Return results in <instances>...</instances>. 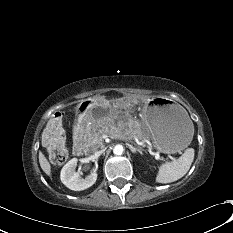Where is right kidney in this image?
Wrapping results in <instances>:
<instances>
[{"mask_svg": "<svg viewBox=\"0 0 233 233\" xmlns=\"http://www.w3.org/2000/svg\"><path fill=\"white\" fill-rule=\"evenodd\" d=\"M77 158L68 161L61 170L60 178L62 183L71 190L81 191L91 187L97 180L96 171H92L90 175L81 178L79 173L75 171Z\"/></svg>", "mask_w": 233, "mask_h": 233, "instance_id": "obj_1", "label": "right kidney"}]
</instances>
